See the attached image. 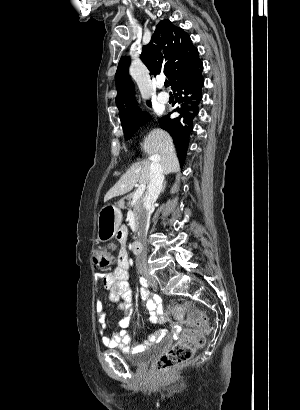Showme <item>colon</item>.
Wrapping results in <instances>:
<instances>
[{
  "mask_svg": "<svg viewBox=\"0 0 300 410\" xmlns=\"http://www.w3.org/2000/svg\"><path fill=\"white\" fill-rule=\"evenodd\" d=\"M92 260L99 270L109 268L112 264L111 248L95 250L92 253ZM172 311L175 316L181 317L177 320V325L186 329L180 341L157 359L156 369L163 376L191 360L194 352L204 345L205 331L208 327L207 317L192 303L175 304Z\"/></svg>",
  "mask_w": 300,
  "mask_h": 410,
  "instance_id": "1",
  "label": "colon"
}]
</instances>
